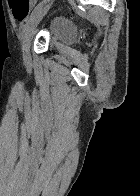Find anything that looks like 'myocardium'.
Segmentation results:
<instances>
[{
    "instance_id": "1",
    "label": "myocardium",
    "mask_w": 140,
    "mask_h": 196,
    "mask_svg": "<svg viewBox=\"0 0 140 196\" xmlns=\"http://www.w3.org/2000/svg\"><path fill=\"white\" fill-rule=\"evenodd\" d=\"M4 192H10V191H4ZM41 192H66V191H41Z\"/></svg>"
}]
</instances>
